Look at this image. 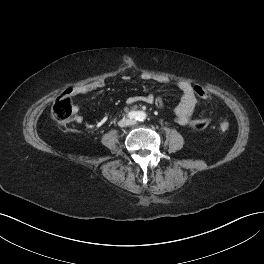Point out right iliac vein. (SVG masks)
Wrapping results in <instances>:
<instances>
[{
    "instance_id": "right-iliac-vein-1",
    "label": "right iliac vein",
    "mask_w": 264,
    "mask_h": 264,
    "mask_svg": "<svg viewBox=\"0 0 264 264\" xmlns=\"http://www.w3.org/2000/svg\"><path fill=\"white\" fill-rule=\"evenodd\" d=\"M128 123L129 122L126 119H122V120L119 121V126L120 127H125V126L128 125Z\"/></svg>"
}]
</instances>
